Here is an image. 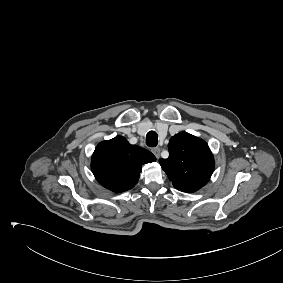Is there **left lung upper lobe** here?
<instances>
[{
  "label": "left lung upper lobe",
  "instance_id": "left-lung-upper-lobe-1",
  "mask_svg": "<svg viewBox=\"0 0 283 283\" xmlns=\"http://www.w3.org/2000/svg\"><path fill=\"white\" fill-rule=\"evenodd\" d=\"M168 149L169 157L159 163L177 190L193 193L208 183L215 163L205 141L180 132L170 139Z\"/></svg>",
  "mask_w": 283,
  "mask_h": 283
}]
</instances>
